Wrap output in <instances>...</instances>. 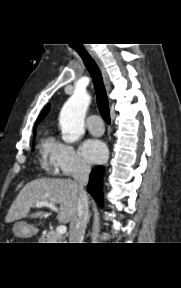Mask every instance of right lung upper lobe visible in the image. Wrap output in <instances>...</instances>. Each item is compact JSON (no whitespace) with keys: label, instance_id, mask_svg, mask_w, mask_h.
Masks as SVG:
<instances>
[{"label":"right lung upper lobe","instance_id":"1","mask_svg":"<svg viewBox=\"0 0 181 288\" xmlns=\"http://www.w3.org/2000/svg\"><path fill=\"white\" fill-rule=\"evenodd\" d=\"M48 111H49V106H47V107L43 110V112L39 115V117H38V119H37V121H36V124H38V123L47 115Z\"/></svg>","mask_w":181,"mask_h":288}]
</instances>
